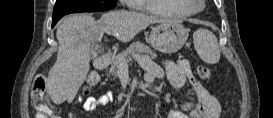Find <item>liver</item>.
<instances>
[{
	"label": "liver",
	"mask_w": 273,
	"mask_h": 118,
	"mask_svg": "<svg viewBox=\"0 0 273 118\" xmlns=\"http://www.w3.org/2000/svg\"><path fill=\"white\" fill-rule=\"evenodd\" d=\"M162 22L177 21L124 10L105 13L99 20L88 14L65 17L56 32L59 43L57 60L46 81L52 101L60 104L74 100L90 68V44L100 40L105 30L118 40L129 42L150 24Z\"/></svg>",
	"instance_id": "6515ba94"
}]
</instances>
